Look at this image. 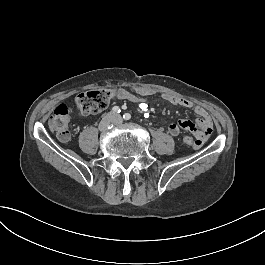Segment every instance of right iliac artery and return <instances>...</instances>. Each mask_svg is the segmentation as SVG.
I'll return each instance as SVG.
<instances>
[{
    "label": "right iliac artery",
    "instance_id": "1",
    "mask_svg": "<svg viewBox=\"0 0 265 265\" xmlns=\"http://www.w3.org/2000/svg\"><path fill=\"white\" fill-rule=\"evenodd\" d=\"M112 112H113L114 114H119V113L121 112V109H120L118 106H114V107L112 108Z\"/></svg>",
    "mask_w": 265,
    "mask_h": 265
}]
</instances>
